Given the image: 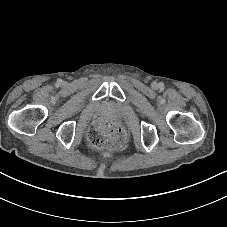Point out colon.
Returning a JSON list of instances; mask_svg holds the SVG:
<instances>
[{"instance_id":"colon-1","label":"colon","mask_w":227,"mask_h":227,"mask_svg":"<svg viewBox=\"0 0 227 227\" xmlns=\"http://www.w3.org/2000/svg\"><path fill=\"white\" fill-rule=\"evenodd\" d=\"M125 140L123 128L116 122L102 120L90 129L88 133L89 144L101 150L120 147Z\"/></svg>"}]
</instances>
